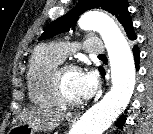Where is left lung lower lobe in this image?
<instances>
[{
    "instance_id": "1",
    "label": "left lung lower lobe",
    "mask_w": 153,
    "mask_h": 134,
    "mask_svg": "<svg viewBox=\"0 0 153 134\" xmlns=\"http://www.w3.org/2000/svg\"><path fill=\"white\" fill-rule=\"evenodd\" d=\"M133 54H134V59H135V65L137 70L139 69V59H140V51L137 45H134L133 47ZM101 74L104 76L105 71L103 68H99ZM125 123V116H121V118L118 119L116 126L119 128H122L123 124Z\"/></svg>"
}]
</instances>
